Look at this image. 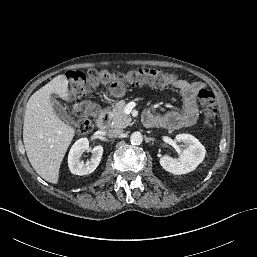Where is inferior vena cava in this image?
I'll return each instance as SVG.
<instances>
[{"label":"inferior vena cava","mask_w":257,"mask_h":257,"mask_svg":"<svg viewBox=\"0 0 257 257\" xmlns=\"http://www.w3.org/2000/svg\"><path fill=\"white\" fill-rule=\"evenodd\" d=\"M122 134V130L120 129H109L107 131V136L110 138H118Z\"/></svg>","instance_id":"obj_1"}]
</instances>
